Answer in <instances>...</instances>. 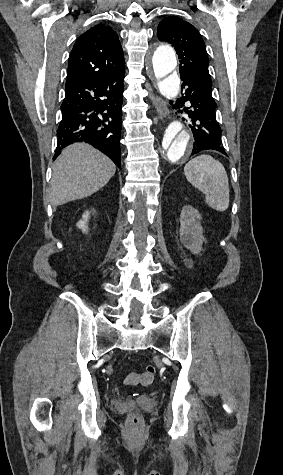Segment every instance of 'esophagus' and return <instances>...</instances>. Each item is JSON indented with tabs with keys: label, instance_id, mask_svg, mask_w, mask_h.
Listing matches in <instances>:
<instances>
[{
	"label": "esophagus",
	"instance_id": "esophagus-1",
	"mask_svg": "<svg viewBox=\"0 0 283 475\" xmlns=\"http://www.w3.org/2000/svg\"><path fill=\"white\" fill-rule=\"evenodd\" d=\"M154 104L160 118L166 117L168 113L167 103L161 97L155 96Z\"/></svg>",
	"mask_w": 283,
	"mask_h": 475
}]
</instances>
